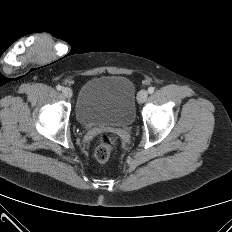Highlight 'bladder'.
I'll return each instance as SVG.
<instances>
[{"mask_svg":"<svg viewBox=\"0 0 232 232\" xmlns=\"http://www.w3.org/2000/svg\"><path fill=\"white\" fill-rule=\"evenodd\" d=\"M83 126L109 125L127 127L135 119V88L124 76H99L86 81L75 106Z\"/></svg>","mask_w":232,"mask_h":232,"instance_id":"31cf9c89","label":"bladder"}]
</instances>
